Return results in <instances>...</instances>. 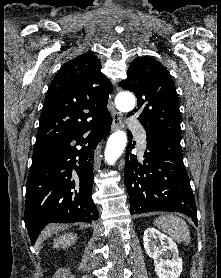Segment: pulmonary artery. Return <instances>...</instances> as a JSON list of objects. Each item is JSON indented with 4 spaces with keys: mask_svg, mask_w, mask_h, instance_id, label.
<instances>
[{
    "mask_svg": "<svg viewBox=\"0 0 221 278\" xmlns=\"http://www.w3.org/2000/svg\"><path fill=\"white\" fill-rule=\"evenodd\" d=\"M128 125L131 129L137 131L138 133V136H137V140H138V144L140 146V148L142 150H144L146 148V134L143 130H141L139 128V123L138 121H136L135 119H130L129 122H128Z\"/></svg>",
    "mask_w": 221,
    "mask_h": 278,
    "instance_id": "1",
    "label": "pulmonary artery"
}]
</instances>
